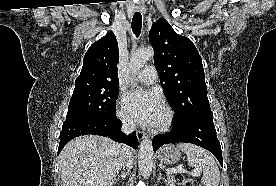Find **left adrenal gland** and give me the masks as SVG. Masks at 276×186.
I'll use <instances>...</instances> for the list:
<instances>
[{"label": "left adrenal gland", "mask_w": 276, "mask_h": 186, "mask_svg": "<svg viewBox=\"0 0 276 186\" xmlns=\"http://www.w3.org/2000/svg\"><path fill=\"white\" fill-rule=\"evenodd\" d=\"M164 180V182L167 184L168 183V181L164 178V177H162V174H161V172L159 173V177H158V181H160V180Z\"/></svg>", "instance_id": "a2214340"}]
</instances>
